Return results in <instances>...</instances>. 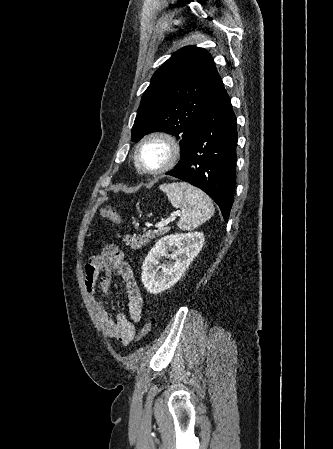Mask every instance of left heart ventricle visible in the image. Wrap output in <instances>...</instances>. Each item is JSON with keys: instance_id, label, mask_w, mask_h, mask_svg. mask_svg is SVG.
<instances>
[{"instance_id": "left-heart-ventricle-1", "label": "left heart ventricle", "mask_w": 333, "mask_h": 449, "mask_svg": "<svg viewBox=\"0 0 333 449\" xmlns=\"http://www.w3.org/2000/svg\"><path fill=\"white\" fill-rule=\"evenodd\" d=\"M142 163L151 169L161 166L167 158L166 146L160 142H151L145 145L141 151Z\"/></svg>"}]
</instances>
